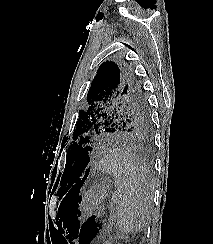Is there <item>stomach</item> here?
<instances>
[{"instance_id": "obj_1", "label": "stomach", "mask_w": 213, "mask_h": 244, "mask_svg": "<svg viewBox=\"0 0 213 244\" xmlns=\"http://www.w3.org/2000/svg\"><path fill=\"white\" fill-rule=\"evenodd\" d=\"M111 186L112 184L108 179L95 182L83 198V209L87 212L95 210L108 195Z\"/></svg>"}]
</instances>
